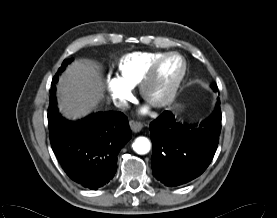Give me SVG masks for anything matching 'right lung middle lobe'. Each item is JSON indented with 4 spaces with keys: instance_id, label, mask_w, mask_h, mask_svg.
Segmentation results:
<instances>
[{
    "instance_id": "right-lung-middle-lobe-1",
    "label": "right lung middle lobe",
    "mask_w": 277,
    "mask_h": 218,
    "mask_svg": "<svg viewBox=\"0 0 277 218\" xmlns=\"http://www.w3.org/2000/svg\"><path fill=\"white\" fill-rule=\"evenodd\" d=\"M71 61H73V59L64 60L62 63V67H60L57 72V75H59V72L63 71L64 66H67ZM56 114H58V110L56 108V102L50 101V106H49V110H48V119H53L56 116Z\"/></svg>"
}]
</instances>
